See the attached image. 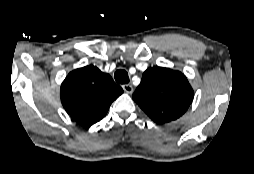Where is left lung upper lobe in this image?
Returning a JSON list of instances; mask_svg holds the SVG:
<instances>
[{
    "instance_id": "left-lung-upper-lobe-1",
    "label": "left lung upper lobe",
    "mask_w": 254,
    "mask_h": 174,
    "mask_svg": "<svg viewBox=\"0 0 254 174\" xmlns=\"http://www.w3.org/2000/svg\"><path fill=\"white\" fill-rule=\"evenodd\" d=\"M193 95L184 74L169 68L151 67L143 73L132 97L153 121L163 124L183 115Z\"/></svg>"
}]
</instances>
